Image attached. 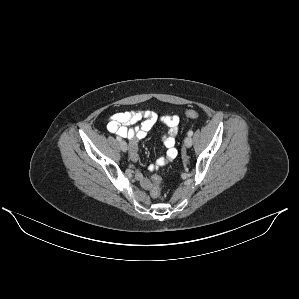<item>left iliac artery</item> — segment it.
I'll list each match as a JSON object with an SVG mask.
<instances>
[{
  "label": "left iliac artery",
  "instance_id": "obj_1",
  "mask_svg": "<svg viewBox=\"0 0 299 299\" xmlns=\"http://www.w3.org/2000/svg\"><path fill=\"white\" fill-rule=\"evenodd\" d=\"M192 135H193V131H189L188 136H192Z\"/></svg>",
  "mask_w": 299,
  "mask_h": 299
}]
</instances>
